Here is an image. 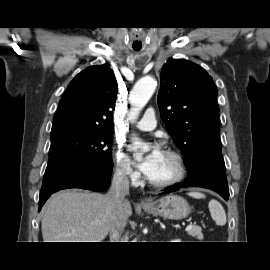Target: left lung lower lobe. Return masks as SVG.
Here are the masks:
<instances>
[{"label":"left lung lower lobe","mask_w":270,"mask_h":270,"mask_svg":"<svg viewBox=\"0 0 270 270\" xmlns=\"http://www.w3.org/2000/svg\"><path fill=\"white\" fill-rule=\"evenodd\" d=\"M180 187H203L219 193L225 200L229 198V189L224 162H207L198 172L189 175L185 182L170 186L164 193L178 190Z\"/></svg>","instance_id":"left-lung-lower-lobe-1"}]
</instances>
